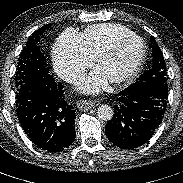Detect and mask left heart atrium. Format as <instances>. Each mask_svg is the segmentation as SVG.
<instances>
[{
  "mask_svg": "<svg viewBox=\"0 0 183 183\" xmlns=\"http://www.w3.org/2000/svg\"><path fill=\"white\" fill-rule=\"evenodd\" d=\"M107 78L98 69L94 71L80 86V90L84 93L94 94L101 91L107 85Z\"/></svg>",
  "mask_w": 183,
  "mask_h": 183,
  "instance_id": "39dd6f15",
  "label": "left heart atrium"
}]
</instances>
